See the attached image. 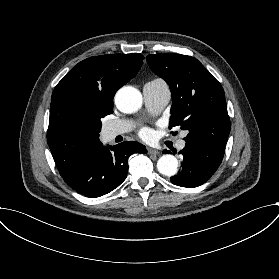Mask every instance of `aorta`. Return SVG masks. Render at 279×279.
Returning a JSON list of instances; mask_svg holds the SVG:
<instances>
[{"instance_id":"obj_1","label":"aorta","mask_w":279,"mask_h":279,"mask_svg":"<svg viewBox=\"0 0 279 279\" xmlns=\"http://www.w3.org/2000/svg\"><path fill=\"white\" fill-rule=\"evenodd\" d=\"M115 104L121 112L134 113L142 106V95L133 87H123L116 93ZM157 168L165 176H174L178 171V160L171 154H164L157 161Z\"/></svg>"}]
</instances>
